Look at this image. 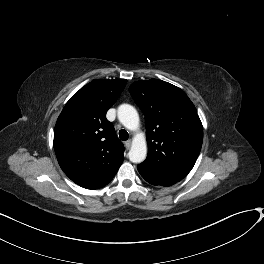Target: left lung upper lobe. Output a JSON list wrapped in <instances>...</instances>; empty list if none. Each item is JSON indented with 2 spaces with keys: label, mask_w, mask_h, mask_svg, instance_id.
<instances>
[{
  "label": "left lung upper lobe",
  "mask_w": 264,
  "mask_h": 264,
  "mask_svg": "<svg viewBox=\"0 0 264 264\" xmlns=\"http://www.w3.org/2000/svg\"><path fill=\"white\" fill-rule=\"evenodd\" d=\"M129 92L145 115L148 155L138 166L167 179L182 180L201 150L203 127L185 92L165 81H136Z\"/></svg>",
  "instance_id": "1"
}]
</instances>
